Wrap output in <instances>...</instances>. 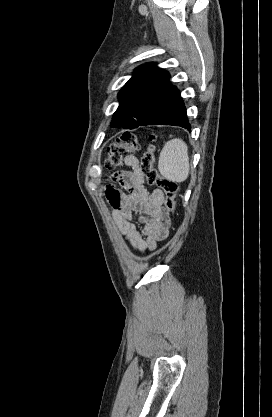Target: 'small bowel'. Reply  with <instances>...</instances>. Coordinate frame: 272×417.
<instances>
[{"mask_svg":"<svg viewBox=\"0 0 272 417\" xmlns=\"http://www.w3.org/2000/svg\"><path fill=\"white\" fill-rule=\"evenodd\" d=\"M124 161L131 170L120 171L115 179L127 193L108 185L105 194L125 241L137 252L152 251L169 234L170 214L163 206L162 191L146 185L139 160L130 155Z\"/></svg>","mask_w":272,"mask_h":417,"instance_id":"small-bowel-1","label":"small bowel"}]
</instances>
